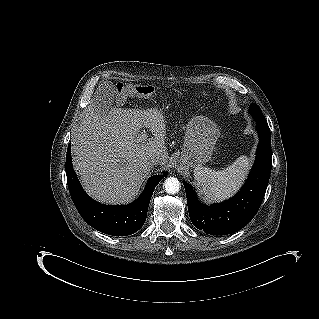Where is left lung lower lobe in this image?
Listing matches in <instances>:
<instances>
[{"label": "left lung lower lobe", "mask_w": 319, "mask_h": 319, "mask_svg": "<svg viewBox=\"0 0 319 319\" xmlns=\"http://www.w3.org/2000/svg\"><path fill=\"white\" fill-rule=\"evenodd\" d=\"M259 145L256 160L242 189L231 199L207 206L186 182L187 204L193 225L210 235H227L241 230L254 217L264 198L272 168L271 137L267 122H256Z\"/></svg>", "instance_id": "0a47b994"}]
</instances>
